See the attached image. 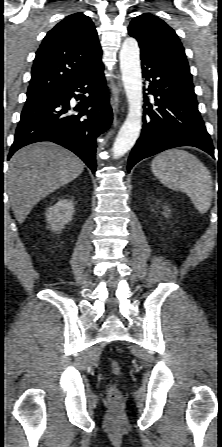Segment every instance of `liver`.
<instances>
[{"instance_id": "liver-1", "label": "liver", "mask_w": 222, "mask_h": 447, "mask_svg": "<svg viewBox=\"0 0 222 447\" xmlns=\"http://www.w3.org/2000/svg\"><path fill=\"white\" fill-rule=\"evenodd\" d=\"M83 169L79 157L54 143H36L17 151L7 171V192L17 221L23 223L41 199L73 181Z\"/></svg>"}]
</instances>
